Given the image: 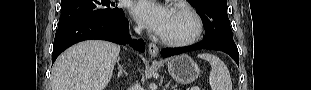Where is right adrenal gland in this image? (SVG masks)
<instances>
[{"label": "right adrenal gland", "instance_id": "1", "mask_svg": "<svg viewBox=\"0 0 311 90\" xmlns=\"http://www.w3.org/2000/svg\"><path fill=\"white\" fill-rule=\"evenodd\" d=\"M117 64H118V74H117V77H118V78L121 77V76L123 75V73H124L125 75H127L126 71L123 70L121 64L119 63V60H117Z\"/></svg>", "mask_w": 311, "mask_h": 90}]
</instances>
